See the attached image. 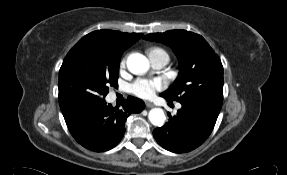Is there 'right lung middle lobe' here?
Masks as SVG:
<instances>
[{
  "mask_svg": "<svg viewBox=\"0 0 287 175\" xmlns=\"http://www.w3.org/2000/svg\"><path fill=\"white\" fill-rule=\"evenodd\" d=\"M122 54L97 55L89 41H79L67 54L59 71L61 111L93 105L117 87Z\"/></svg>",
  "mask_w": 287,
  "mask_h": 175,
  "instance_id": "obj_1",
  "label": "right lung middle lobe"
}]
</instances>
